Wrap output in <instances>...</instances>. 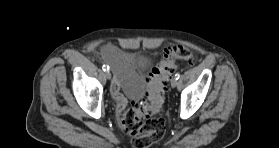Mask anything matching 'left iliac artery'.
<instances>
[{"instance_id": "obj_1", "label": "left iliac artery", "mask_w": 279, "mask_h": 148, "mask_svg": "<svg viewBox=\"0 0 279 148\" xmlns=\"http://www.w3.org/2000/svg\"><path fill=\"white\" fill-rule=\"evenodd\" d=\"M179 78H180V74H179V73H176V74H175V79L178 80Z\"/></svg>"}]
</instances>
